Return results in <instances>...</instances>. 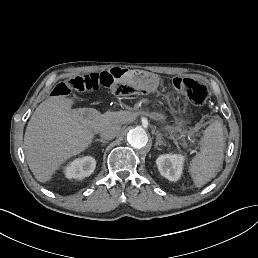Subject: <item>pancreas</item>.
<instances>
[{
    "label": "pancreas",
    "instance_id": "cf45deb5",
    "mask_svg": "<svg viewBox=\"0 0 258 258\" xmlns=\"http://www.w3.org/2000/svg\"><path fill=\"white\" fill-rule=\"evenodd\" d=\"M146 117H150L153 119H156L157 121H161L162 124L171 125L172 119L164 117L163 114H159L158 112L146 110L144 108H138L137 110H117L116 116H114V113H109V117H104L105 126L109 125L110 123H123L127 119H137L140 117V115H144ZM113 118V120L111 119ZM169 134L173 139L175 138V133H178V129H168Z\"/></svg>",
    "mask_w": 258,
    "mask_h": 258
}]
</instances>
